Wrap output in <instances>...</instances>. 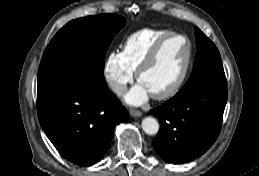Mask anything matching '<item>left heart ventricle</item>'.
<instances>
[{"mask_svg": "<svg viewBox=\"0 0 259 176\" xmlns=\"http://www.w3.org/2000/svg\"><path fill=\"white\" fill-rule=\"evenodd\" d=\"M187 45L181 37H171L163 45L154 63L143 72L139 82L155 94L169 88L180 75L186 58Z\"/></svg>", "mask_w": 259, "mask_h": 176, "instance_id": "left-heart-ventricle-1", "label": "left heart ventricle"}]
</instances>
